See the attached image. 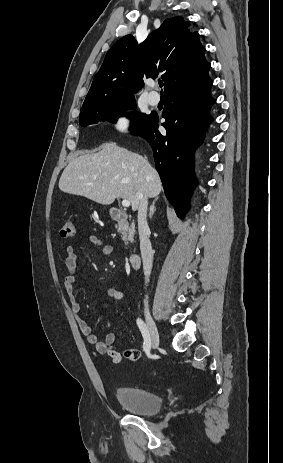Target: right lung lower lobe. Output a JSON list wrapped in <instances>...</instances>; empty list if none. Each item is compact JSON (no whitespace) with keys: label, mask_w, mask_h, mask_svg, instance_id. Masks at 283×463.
<instances>
[{"label":"right lung lower lobe","mask_w":283,"mask_h":463,"mask_svg":"<svg viewBox=\"0 0 283 463\" xmlns=\"http://www.w3.org/2000/svg\"><path fill=\"white\" fill-rule=\"evenodd\" d=\"M211 86L212 80L206 75L194 83L170 89L165 93L162 114L166 133L159 132L156 113L148 115L134 132L151 145L165 195L179 217L186 211L188 197L196 186L194 151L212 121L208 114L214 103L209 93Z\"/></svg>","instance_id":"obj_1"}]
</instances>
